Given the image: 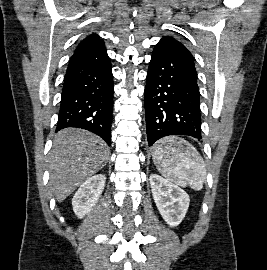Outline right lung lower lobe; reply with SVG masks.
<instances>
[{
    "label": "right lung lower lobe",
    "mask_w": 267,
    "mask_h": 270,
    "mask_svg": "<svg viewBox=\"0 0 267 270\" xmlns=\"http://www.w3.org/2000/svg\"><path fill=\"white\" fill-rule=\"evenodd\" d=\"M112 109L113 75L104 43L75 52L64 78L56 132L82 128L110 145Z\"/></svg>",
    "instance_id": "98d812e1"
}]
</instances>
